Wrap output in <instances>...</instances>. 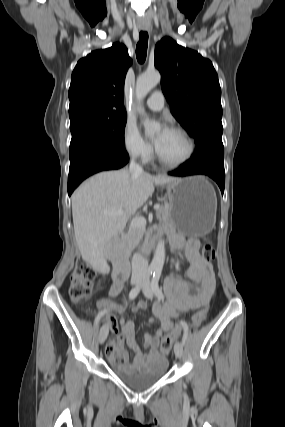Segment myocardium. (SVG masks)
Returning a JSON list of instances; mask_svg holds the SVG:
<instances>
[{
	"label": "myocardium",
	"instance_id": "f54148a6",
	"mask_svg": "<svg viewBox=\"0 0 285 427\" xmlns=\"http://www.w3.org/2000/svg\"><path fill=\"white\" fill-rule=\"evenodd\" d=\"M169 130L180 134L185 139V141L187 142V146H188L186 154L180 160L171 162V161L164 160L159 155L157 149H155V157H156L157 161L159 162V164H161L164 167L178 168V167H181L184 164H186L193 157L194 152H195V142H194L193 138L191 137V135L185 129H183L181 127L174 126V127H171Z\"/></svg>",
	"mask_w": 285,
	"mask_h": 427
}]
</instances>
